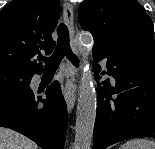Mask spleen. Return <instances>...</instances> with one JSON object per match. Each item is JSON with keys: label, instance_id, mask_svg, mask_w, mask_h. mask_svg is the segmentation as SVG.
Segmentation results:
<instances>
[{"label": "spleen", "instance_id": "spleen-1", "mask_svg": "<svg viewBox=\"0 0 155 149\" xmlns=\"http://www.w3.org/2000/svg\"><path fill=\"white\" fill-rule=\"evenodd\" d=\"M119 149H155V142L148 139H133L125 142Z\"/></svg>", "mask_w": 155, "mask_h": 149}]
</instances>
